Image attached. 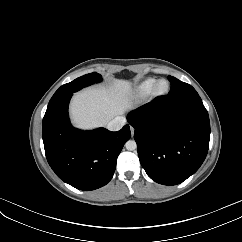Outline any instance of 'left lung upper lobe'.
<instances>
[{
  "label": "left lung upper lobe",
  "instance_id": "obj_1",
  "mask_svg": "<svg viewBox=\"0 0 242 242\" xmlns=\"http://www.w3.org/2000/svg\"><path fill=\"white\" fill-rule=\"evenodd\" d=\"M168 79L171 82V90L167 96H163L164 98H175V97H181L186 95L198 94L191 85L185 82H182L172 76H168Z\"/></svg>",
  "mask_w": 242,
  "mask_h": 242
}]
</instances>
